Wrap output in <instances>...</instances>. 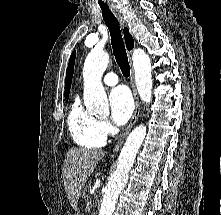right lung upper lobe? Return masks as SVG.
<instances>
[{
  "instance_id": "right-lung-upper-lobe-1",
  "label": "right lung upper lobe",
  "mask_w": 221,
  "mask_h": 215,
  "mask_svg": "<svg viewBox=\"0 0 221 215\" xmlns=\"http://www.w3.org/2000/svg\"><path fill=\"white\" fill-rule=\"evenodd\" d=\"M124 38L126 42V46L128 50H131L134 47V40L132 36L129 34V30L127 28H124ZM75 51L70 56L68 68L66 71V81H65V97L69 95L70 87L72 83V77H73V70H74V63H75Z\"/></svg>"
}]
</instances>
